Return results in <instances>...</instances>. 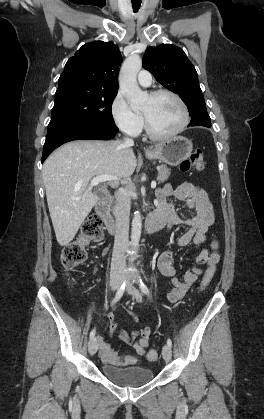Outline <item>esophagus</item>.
Listing matches in <instances>:
<instances>
[{
    "mask_svg": "<svg viewBox=\"0 0 264 419\" xmlns=\"http://www.w3.org/2000/svg\"><path fill=\"white\" fill-rule=\"evenodd\" d=\"M145 152H148V149H145Z\"/></svg>",
    "mask_w": 264,
    "mask_h": 419,
    "instance_id": "34e87169",
    "label": "esophagus"
}]
</instances>
